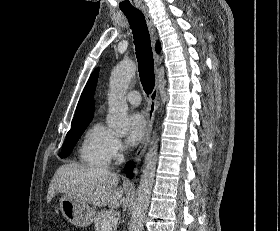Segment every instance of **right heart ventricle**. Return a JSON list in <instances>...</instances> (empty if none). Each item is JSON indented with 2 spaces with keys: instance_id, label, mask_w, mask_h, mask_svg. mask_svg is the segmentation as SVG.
I'll list each match as a JSON object with an SVG mask.
<instances>
[{
  "instance_id": "right-heart-ventricle-1",
  "label": "right heart ventricle",
  "mask_w": 280,
  "mask_h": 231,
  "mask_svg": "<svg viewBox=\"0 0 280 231\" xmlns=\"http://www.w3.org/2000/svg\"><path fill=\"white\" fill-rule=\"evenodd\" d=\"M111 136V132L100 123L90 125L78 148L81 164L90 168H106L111 160L109 152Z\"/></svg>"
}]
</instances>
